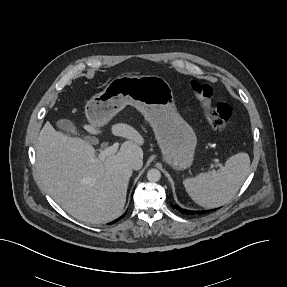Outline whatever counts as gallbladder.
Returning <instances> with one entry per match:
<instances>
[{
    "instance_id": "bac80fb5",
    "label": "gallbladder",
    "mask_w": 287,
    "mask_h": 287,
    "mask_svg": "<svg viewBox=\"0 0 287 287\" xmlns=\"http://www.w3.org/2000/svg\"><path fill=\"white\" fill-rule=\"evenodd\" d=\"M56 126L60 129L63 130L64 132L70 134V135H75V136H80V132L75 126V124L68 119H60L56 122ZM89 142L94 143L95 139L94 138H89Z\"/></svg>"
}]
</instances>
